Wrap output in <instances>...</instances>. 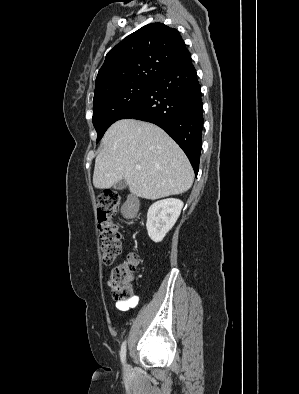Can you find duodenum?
<instances>
[{"mask_svg":"<svg viewBox=\"0 0 299 394\" xmlns=\"http://www.w3.org/2000/svg\"><path fill=\"white\" fill-rule=\"evenodd\" d=\"M137 210H138V202L134 197H132L127 203V205L125 206V212L127 217L131 218L135 216Z\"/></svg>","mask_w":299,"mask_h":394,"instance_id":"obj_1","label":"duodenum"}]
</instances>
